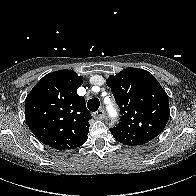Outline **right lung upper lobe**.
<instances>
[{"mask_svg":"<svg viewBox=\"0 0 196 196\" xmlns=\"http://www.w3.org/2000/svg\"><path fill=\"white\" fill-rule=\"evenodd\" d=\"M82 82L74 71L60 70L44 76L28 94L26 122L43 144L66 150L86 142L91 114L77 94Z\"/></svg>","mask_w":196,"mask_h":196,"instance_id":"obj_1","label":"right lung upper lobe"}]
</instances>
